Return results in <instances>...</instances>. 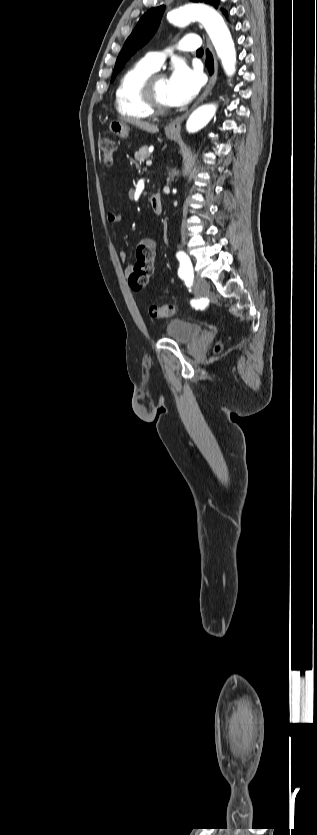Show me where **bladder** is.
<instances>
[{
  "label": "bladder",
  "instance_id": "1",
  "mask_svg": "<svg viewBox=\"0 0 317 835\" xmlns=\"http://www.w3.org/2000/svg\"><path fill=\"white\" fill-rule=\"evenodd\" d=\"M201 332V325L180 318L171 319L165 327L166 336L179 344H188L194 341L200 336Z\"/></svg>",
  "mask_w": 317,
  "mask_h": 835
}]
</instances>
